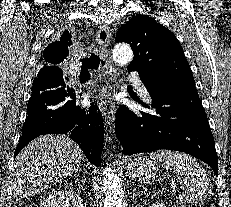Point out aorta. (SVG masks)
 <instances>
[{
  "label": "aorta",
  "mask_w": 231,
  "mask_h": 207,
  "mask_svg": "<svg viewBox=\"0 0 231 207\" xmlns=\"http://www.w3.org/2000/svg\"><path fill=\"white\" fill-rule=\"evenodd\" d=\"M113 59L120 65H128L133 59V52L128 44L119 43L113 49ZM104 207H123V188L115 170H103Z\"/></svg>",
  "instance_id": "aorta-1"
}]
</instances>
